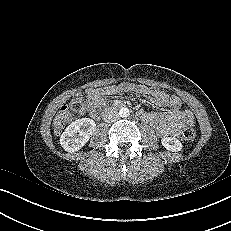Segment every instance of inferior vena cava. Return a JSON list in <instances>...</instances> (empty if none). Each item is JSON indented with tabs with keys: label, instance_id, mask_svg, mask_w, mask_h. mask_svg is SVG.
I'll list each match as a JSON object with an SVG mask.
<instances>
[{
	"label": "inferior vena cava",
	"instance_id": "1",
	"mask_svg": "<svg viewBox=\"0 0 231 231\" xmlns=\"http://www.w3.org/2000/svg\"><path fill=\"white\" fill-rule=\"evenodd\" d=\"M119 118V114L116 110L114 109H109V110H106L103 114V120L105 122H114L116 121L117 119Z\"/></svg>",
	"mask_w": 231,
	"mask_h": 231
}]
</instances>
